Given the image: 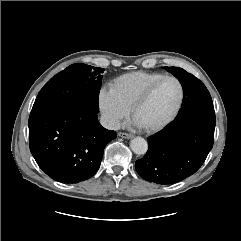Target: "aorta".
I'll use <instances>...</instances> for the list:
<instances>
[{
  "label": "aorta",
  "mask_w": 241,
  "mask_h": 241,
  "mask_svg": "<svg viewBox=\"0 0 241 241\" xmlns=\"http://www.w3.org/2000/svg\"><path fill=\"white\" fill-rule=\"evenodd\" d=\"M131 150L137 155H144L148 149L147 141L142 137H136L130 142Z\"/></svg>",
  "instance_id": "1"
}]
</instances>
